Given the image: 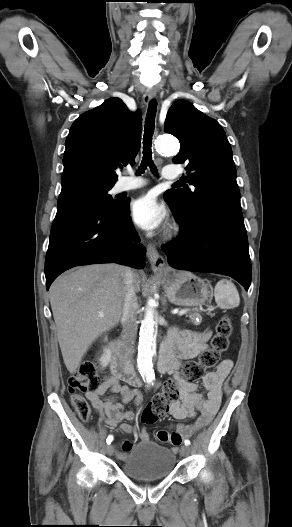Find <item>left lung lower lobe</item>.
<instances>
[{
    "label": "left lung lower lobe",
    "instance_id": "1",
    "mask_svg": "<svg viewBox=\"0 0 292 527\" xmlns=\"http://www.w3.org/2000/svg\"><path fill=\"white\" fill-rule=\"evenodd\" d=\"M179 225V237L162 247L172 267L228 275L248 290L251 261L242 214L208 212Z\"/></svg>",
    "mask_w": 292,
    "mask_h": 527
}]
</instances>
